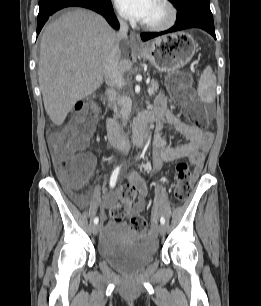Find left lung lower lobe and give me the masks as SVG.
<instances>
[{
    "label": "left lung lower lobe",
    "instance_id": "0a47b994",
    "mask_svg": "<svg viewBox=\"0 0 261 306\" xmlns=\"http://www.w3.org/2000/svg\"><path fill=\"white\" fill-rule=\"evenodd\" d=\"M177 11V20L172 28L162 32L142 33V40L147 41L163 34L176 32L188 28L203 29L210 33L216 39L213 16L209 5L201 2H191L178 8Z\"/></svg>",
    "mask_w": 261,
    "mask_h": 306
}]
</instances>
